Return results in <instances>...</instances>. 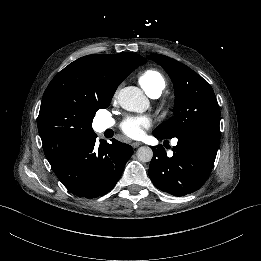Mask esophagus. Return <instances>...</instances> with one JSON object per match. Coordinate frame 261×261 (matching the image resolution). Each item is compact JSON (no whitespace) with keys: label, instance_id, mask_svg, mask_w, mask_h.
Returning <instances> with one entry per match:
<instances>
[{"label":"esophagus","instance_id":"1","mask_svg":"<svg viewBox=\"0 0 261 261\" xmlns=\"http://www.w3.org/2000/svg\"><path fill=\"white\" fill-rule=\"evenodd\" d=\"M140 145H142L141 142H133V143L131 144V146H132L133 148H137V147H139Z\"/></svg>","mask_w":261,"mask_h":261}]
</instances>
